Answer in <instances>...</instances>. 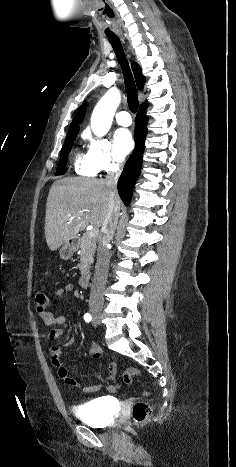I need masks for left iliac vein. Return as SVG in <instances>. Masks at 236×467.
<instances>
[{
	"label": "left iliac vein",
	"instance_id": "left-iliac-vein-1",
	"mask_svg": "<svg viewBox=\"0 0 236 467\" xmlns=\"http://www.w3.org/2000/svg\"><path fill=\"white\" fill-rule=\"evenodd\" d=\"M93 325L96 326V325H97V322H96V321H93Z\"/></svg>",
	"mask_w": 236,
	"mask_h": 467
}]
</instances>
